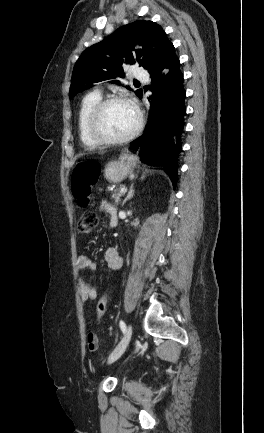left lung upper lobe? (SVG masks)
<instances>
[{
	"label": "left lung upper lobe",
	"mask_w": 264,
	"mask_h": 433,
	"mask_svg": "<svg viewBox=\"0 0 264 433\" xmlns=\"http://www.w3.org/2000/svg\"><path fill=\"white\" fill-rule=\"evenodd\" d=\"M172 51V42L158 24L145 20L127 24L82 53L73 69L70 98L96 83L123 77L124 64L138 63L150 72ZM135 94L140 98L142 90Z\"/></svg>",
	"instance_id": "1"
}]
</instances>
